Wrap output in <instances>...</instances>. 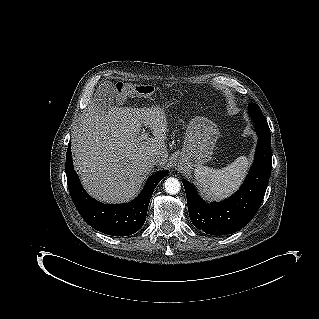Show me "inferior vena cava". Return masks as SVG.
<instances>
[{
	"instance_id": "602c4592",
	"label": "inferior vena cava",
	"mask_w": 319,
	"mask_h": 319,
	"mask_svg": "<svg viewBox=\"0 0 319 319\" xmlns=\"http://www.w3.org/2000/svg\"><path fill=\"white\" fill-rule=\"evenodd\" d=\"M148 164L150 166L160 165L161 164V158L160 156H152L148 159Z\"/></svg>"
}]
</instances>
